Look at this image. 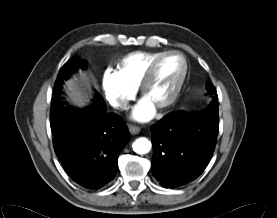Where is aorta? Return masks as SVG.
Here are the masks:
<instances>
[{
	"instance_id": "obj_1",
	"label": "aorta",
	"mask_w": 277,
	"mask_h": 218,
	"mask_svg": "<svg viewBox=\"0 0 277 218\" xmlns=\"http://www.w3.org/2000/svg\"><path fill=\"white\" fill-rule=\"evenodd\" d=\"M151 146V142L145 137L136 139L132 144L134 152L139 155L147 154L151 150Z\"/></svg>"
}]
</instances>
